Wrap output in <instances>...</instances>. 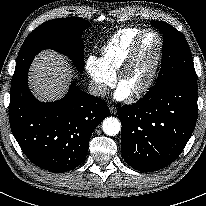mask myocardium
Listing matches in <instances>:
<instances>
[{"instance_id": "obj_1", "label": "myocardium", "mask_w": 206, "mask_h": 206, "mask_svg": "<svg viewBox=\"0 0 206 206\" xmlns=\"http://www.w3.org/2000/svg\"><path fill=\"white\" fill-rule=\"evenodd\" d=\"M148 34H153L157 38V42H158L157 54H156L154 63L152 65V68L150 70V73L147 79L145 80V82L141 84L140 86H138L137 88H135L133 91H131V93L134 96H140L146 93L153 86L157 78L158 71H159L162 57H163V51H164V44H163V39L161 35L156 30H153V29H145L142 33H140L138 37L135 39L127 56L122 61L116 73L117 81L119 84H121L125 74L128 72V70L130 69V67L132 66V64L134 63L136 59V56L138 54V51L140 49L143 39Z\"/></svg>"}]
</instances>
